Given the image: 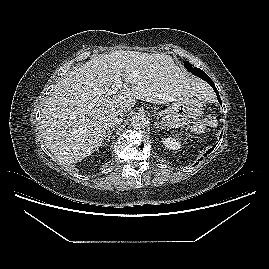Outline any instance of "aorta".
Returning a JSON list of instances; mask_svg holds the SVG:
<instances>
[{
  "mask_svg": "<svg viewBox=\"0 0 269 269\" xmlns=\"http://www.w3.org/2000/svg\"><path fill=\"white\" fill-rule=\"evenodd\" d=\"M132 126L134 129H145L148 124V118L144 114H137L132 117Z\"/></svg>",
  "mask_w": 269,
  "mask_h": 269,
  "instance_id": "aorta-1",
  "label": "aorta"
}]
</instances>
